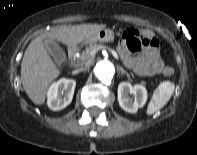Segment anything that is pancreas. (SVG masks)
Here are the masks:
<instances>
[{"label":"pancreas","instance_id":"pancreas-1","mask_svg":"<svg viewBox=\"0 0 197 155\" xmlns=\"http://www.w3.org/2000/svg\"><path fill=\"white\" fill-rule=\"evenodd\" d=\"M102 48L101 45H97V44H90L89 47H87L85 49V51H83L81 53V55L78 58V61L80 64H85L90 62V60L92 59L93 55L95 52H97L98 50H100ZM141 84H145L144 81L141 82Z\"/></svg>","mask_w":197,"mask_h":155}]
</instances>
